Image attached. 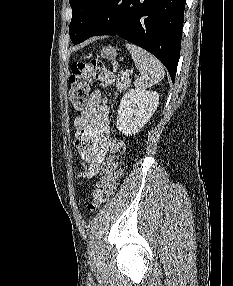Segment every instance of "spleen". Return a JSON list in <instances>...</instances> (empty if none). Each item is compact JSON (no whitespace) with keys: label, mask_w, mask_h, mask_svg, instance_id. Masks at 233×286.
<instances>
[{"label":"spleen","mask_w":233,"mask_h":286,"mask_svg":"<svg viewBox=\"0 0 233 286\" xmlns=\"http://www.w3.org/2000/svg\"><path fill=\"white\" fill-rule=\"evenodd\" d=\"M126 48L131 53L135 66L139 69V77L135 82L138 89H146L162 80L164 67L151 53L134 44L127 43Z\"/></svg>","instance_id":"spleen-1"}]
</instances>
